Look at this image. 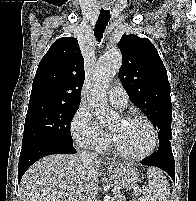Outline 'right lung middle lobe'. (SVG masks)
<instances>
[{"label": "right lung middle lobe", "mask_w": 196, "mask_h": 201, "mask_svg": "<svg viewBox=\"0 0 196 201\" xmlns=\"http://www.w3.org/2000/svg\"><path fill=\"white\" fill-rule=\"evenodd\" d=\"M79 105V103L59 104L48 101L29 102L22 146L37 140L73 145L70 121Z\"/></svg>", "instance_id": "dd1d6c3e"}]
</instances>
